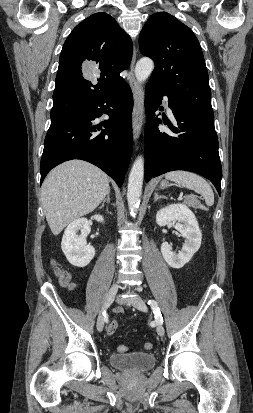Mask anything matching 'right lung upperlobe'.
Returning <instances> with one entry per match:
<instances>
[{"mask_svg": "<svg viewBox=\"0 0 253 413\" xmlns=\"http://www.w3.org/2000/svg\"><path fill=\"white\" fill-rule=\"evenodd\" d=\"M132 59L129 35L107 13L78 24L66 39L59 59L51 117L71 114L121 85L120 72ZM86 64L97 79L83 77Z\"/></svg>", "mask_w": 253, "mask_h": 413, "instance_id": "right-lung-upper-lobe-1", "label": "right lung upper lobe"}]
</instances>
